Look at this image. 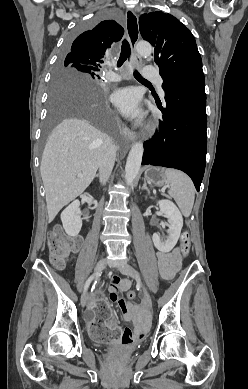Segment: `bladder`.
<instances>
[{"instance_id":"1","label":"bladder","mask_w":248,"mask_h":389,"mask_svg":"<svg viewBox=\"0 0 248 389\" xmlns=\"http://www.w3.org/2000/svg\"><path fill=\"white\" fill-rule=\"evenodd\" d=\"M97 344V346H99V347H104V344H102V343H96Z\"/></svg>"}]
</instances>
